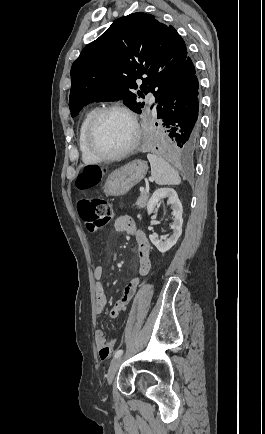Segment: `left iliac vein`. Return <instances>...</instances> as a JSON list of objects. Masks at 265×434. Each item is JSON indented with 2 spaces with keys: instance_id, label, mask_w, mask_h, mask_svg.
Returning <instances> with one entry per match:
<instances>
[{
  "instance_id": "4c4485c4",
  "label": "left iliac vein",
  "mask_w": 265,
  "mask_h": 434,
  "mask_svg": "<svg viewBox=\"0 0 265 434\" xmlns=\"http://www.w3.org/2000/svg\"><path fill=\"white\" fill-rule=\"evenodd\" d=\"M122 361H123V357L122 356L117 357V358H115L112 361V363H111V365L109 367L107 376H106L107 382L109 384L112 383V381L114 380L115 374L117 373V371H118V369H119L120 364H121Z\"/></svg>"
}]
</instances>
